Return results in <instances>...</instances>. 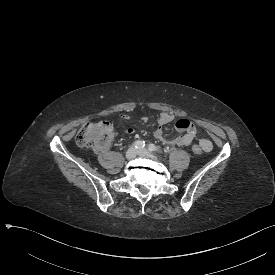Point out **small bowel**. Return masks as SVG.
Returning a JSON list of instances; mask_svg holds the SVG:
<instances>
[{
    "label": "small bowel",
    "instance_id": "small-bowel-1",
    "mask_svg": "<svg viewBox=\"0 0 275 275\" xmlns=\"http://www.w3.org/2000/svg\"><path fill=\"white\" fill-rule=\"evenodd\" d=\"M124 117V116H123ZM109 118V117H108ZM128 117L125 116L124 120H127ZM174 121V116L171 113L164 112L160 115L158 119V127L154 131L155 139L164 142L171 146H190L194 143L197 137V128L193 122L188 119L181 118L176 121L175 127L182 135L177 136L173 139H166L162 131V127L170 124ZM127 135L135 134L134 128H128L126 130ZM200 143L205 146V151H210L212 149V143L207 139H201Z\"/></svg>",
    "mask_w": 275,
    "mask_h": 275
}]
</instances>
